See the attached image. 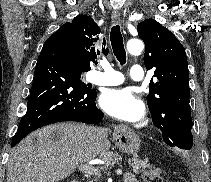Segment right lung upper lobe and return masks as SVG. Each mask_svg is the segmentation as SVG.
Instances as JSON below:
<instances>
[{
  "label": "right lung upper lobe",
  "instance_id": "cb5924a9",
  "mask_svg": "<svg viewBox=\"0 0 211 182\" xmlns=\"http://www.w3.org/2000/svg\"><path fill=\"white\" fill-rule=\"evenodd\" d=\"M58 30H62L67 36L73 39L76 46V56L82 70H90V63L95 60L96 52L94 43L98 40L100 28L94 20L87 15H78L72 22L64 24ZM105 46V39L103 41ZM104 54L108 49L103 48Z\"/></svg>",
  "mask_w": 211,
  "mask_h": 182
}]
</instances>
